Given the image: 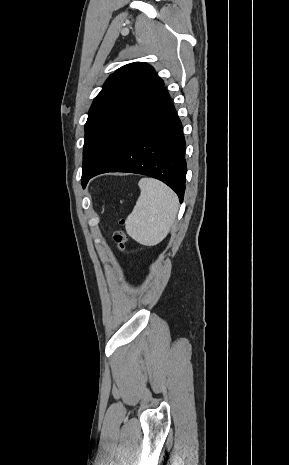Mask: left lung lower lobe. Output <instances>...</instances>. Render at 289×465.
I'll return each instance as SVG.
<instances>
[{"instance_id":"obj_1","label":"left lung lower lobe","mask_w":289,"mask_h":465,"mask_svg":"<svg viewBox=\"0 0 289 465\" xmlns=\"http://www.w3.org/2000/svg\"><path fill=\"white\" fill-rule=\"evenodd\" d=\"M131 172L159 179L171 187L182 203L186 161L182 124L164 86L152 97L131 127L87 176Z\"/></svg>"}]
</instances>
